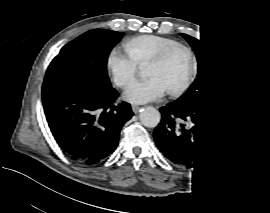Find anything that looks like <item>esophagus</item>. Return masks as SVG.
<instances>
[{"mask_svg": "<svg viewBox=\"0 0 270 213\" xmlns=\"http://www.w3.org/2000/svg\"><path fill=\"white\" fill-rule=\"evenodd\" d=\"M132 111L134 112V113H138L139 112V110H140V106H138V105H135V104H133L132 106Z\"/></svg>", "mask_w": 270, "mask_h": 213, "instance_id": "34e87169", "label": "esophagus"}]
</instances>
